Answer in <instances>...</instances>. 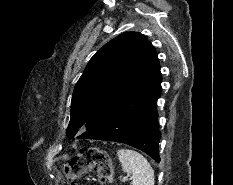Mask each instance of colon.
<instances>
[{"label":"colon","mask_w":233,"mask_h":185,"mask_svg":"<svg viewBox=\"0 0 233 185\" xmlns=\"http://www.w3.org/2000/svg\"><path fill=\"white\" fill-rule=\"evenodd\" d=\"M93 172L103 182H110L113 168L107 152L98 147H83L79 154L64 165L65 181H74Z\"/></svg>","instance_id":"1"}]
</instances>
